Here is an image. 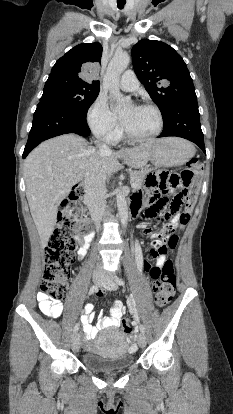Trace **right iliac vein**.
Listing matches in <instances>:
<instances>
[{
  "mask_svg": "<svg viewBox=\"0 0 233 414\" xmlns=\"http://www.w3.org/2000/svg\"><path fill=\"white\" fill-rule=\"evenodd\" d=\"M102 279V272L100 270H95L93 273V282L95 284H100ZM71 347L73 351H78L80 348V337L78 334H74L71 338Z\"/></svg>",
  "mask_w": 233,
  "mask_h": 414,
  "instance_id": "obj_1",
  "label": "right iliac vein"
}]
</instances>
